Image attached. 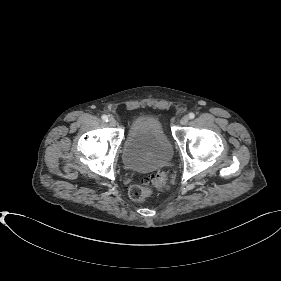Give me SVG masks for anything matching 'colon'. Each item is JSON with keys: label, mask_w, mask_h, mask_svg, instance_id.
Wrapping results in <instances>:
<instances>
[{"label": "colon", "mask_w": 281, "mask_h": 281, "mask_svg": "<svg viewBox=\"0 0 281 281\" xmlns=\"http://www.w3.org/2000/svg\"><path fill=\"white\" fill-rule=\"evenodd\" d=\"M167 176L164 172H157L150 178L144 180L141 185H133L129 189V197L134 202L143 201L154 188L161 189L165 186Z\"/></svg>", "instance_id": "5ec220e1"}]
</instances>
